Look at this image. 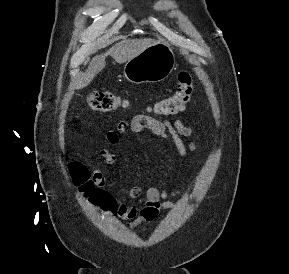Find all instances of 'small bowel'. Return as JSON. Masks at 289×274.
Returning a JSON list of instances; mask_svg holds the SVG:
<instances>
[{
  "instance_id": "1",
  "label": "small bowel",
  "mask_w": 289,
  "mask_h": 274,
  "mask_svg": "<svg viewBox=\"0 0 289 274\" xmlns=\"http://www.w3.org/2000/svg\"><path fill=\"white\" fill-rule=\"evenodd\" d=\"M128 132H151L165 141H171L180 157H186L189 151L194 152L197 149L194 141H190L187 145L184 144L182 137H191L193 130L180 119L172 124L147 115H136L130 123L125 120L120 121L116 130L108 131L106 135L107 141L111 145L118 146L121 142L120 135ZM99 156L110 166H114L117 161L116 155L106 148H102L99 151ZM172 161V156H169L166 172H170L172 169ZM91 177L94 185L99 188H114L117 186L114 180L107 178L99 169L93 170ZM120 189L128 199H139L140 201L139 205H131L126 200H123L116 209L119 217L131 221L130 227L153 222L161 210L172 206L171 199L181 193V188L168 191L157 187H149L144 191L138 185L130 188L121 187Z\"/></svg>"
}]
</instances>
